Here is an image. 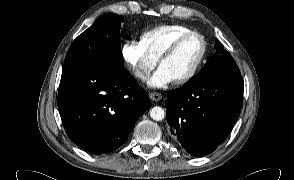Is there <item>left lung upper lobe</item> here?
I'll return each instance as SVG.
<instances>
[{
    "label": "left lung upper lobe",
    "mask_w": 294,
    "mask_h": 180,
    "mask_svg": "<svg viewBox=\"0 0 294 180\" xmlns=\"http://www.w3.org/2000/svg\"><path fill=\"white\" fill-rule=\"evenodd\" d=\"M215 50L216 52L207 60L201 71L188 84L205 83L219 76L241 75L235 60L219 41L215 43Z\"/></svg>",
    "instance_id": "1"
}]
</instances>
